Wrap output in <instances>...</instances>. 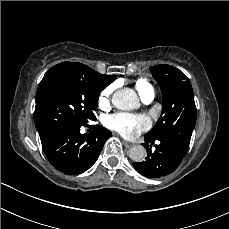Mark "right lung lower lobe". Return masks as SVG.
Returning <instances> with one entry per match:
<instances>
[{"instance_id":"98d812e1","label":"right lung lower lobe","mask_w":229,"mask_h":229,"mask_svg":"<svg viewBox=\"0 0 229 229\" xmlns=\"http://www.w3.org/2000/svg\"><path fill=\"white\" fill-rule=\"evenodd\" d=\"M80 128L76 125L64 127L42 144L52 166L68 175L88 170L98 159L105 141L112 136L100 125L93 126L89 134H81Z\"/></svg>"}]
</instances>
